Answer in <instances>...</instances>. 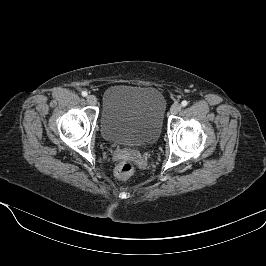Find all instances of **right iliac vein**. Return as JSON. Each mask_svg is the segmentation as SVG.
<instances>
[{
  "label": "right iliac vein",
  "instance_id": "1",
  "mask_svg": "<svg viewBox=\"0 0 266 266\" xmlns=\"http://www.w3.org/2000/svg\"><path fill=\"white\" fill-rule=\"evenodd\" d=\"M87 102L90 105H95L97 103V98L94 95H88L87 96Z\"/></svg>",
  "mask_w": 266,
  "mask_h": 266
}]
</instances>
